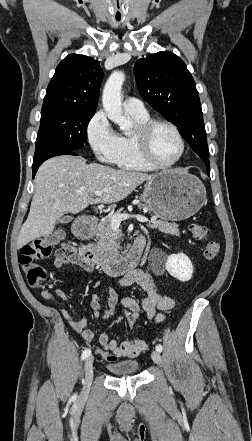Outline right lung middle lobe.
I'll list each match as a JSON object with an SVG mask.
<instances>
[{
    "instance_id": "1",
    "label": "right lung middle lobe",
    "mask_w": 252,
    "mask_h": 441,
    "mask_svg": "<svg viewBox=\"0 0 252 441\" xmlns=\"http://www.w3.org/2000/svg\"><path fill=\"white\" fill-rule=\"evenodd\" d=\"M94 114V111L62 108L42 110L33 163L83 148L87 126Z\"/></svg>"
}]
</instances>
